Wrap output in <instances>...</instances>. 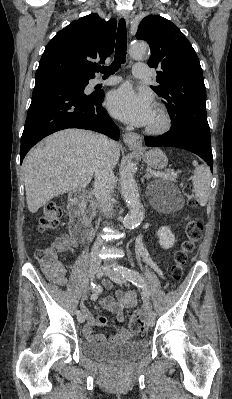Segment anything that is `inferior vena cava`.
Returning <instances> with one entry per match:
<instances>
[{
	"label": "inferior vena cava",
	"instance_id": "602c4592",
	"mask_svg": "<svg viewBox=\"0 0 232 399\" xmlns=\"http://www.w3.org/2000/svg\"><path fill=\"white\" fill-rule=\"evenodd\" d=\"M95 138L99 146L102 148L98 162L94 166L95 194L101 203L102 211L108 215V213L112 211L111 201L115 186V178L109 150L110 146H113L114 142H111V140H108V138H106V136H102V134H97ZM104 247V241L94 242L93 246L90 248L92 263L102 262V259L97 255V252H100Z\"/></svg>",
	"mask_w": 232,
	"mask_h": 399
}]
</instances>
